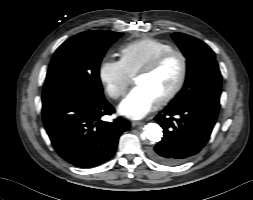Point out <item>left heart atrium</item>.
Instances as JSON below:
<instances>
[{"mask_svg":"<svg viewBox=\"0 0 253 200\" xmlns=\"http://www.w3.org/2000/svg\"><path fill=\"white\" fill-rule=\"evenodd\" d=\"M156 103L147 89L137 86L119 104L118 111L128 118L141 119L153 110Z\"/></svg>","mask_w":253,"mask_h":200,"instance_id":"1","label":"left heart atrium"}]
</instances>
